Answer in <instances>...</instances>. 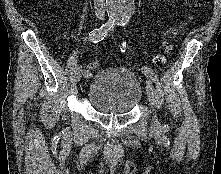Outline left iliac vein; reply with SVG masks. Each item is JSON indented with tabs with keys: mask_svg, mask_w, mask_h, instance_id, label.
Instances as JSON below:
<instances>
[{
	"mask_svg": "<svg viewBox=\"0 0 221 174\" xmlns=\"http://www.w3.org/2000/svg\"><path fill=\"white\" fill-rule=\"evenodd\" d=\"M146 91H147V96H148L149 102H150L151 106L154 107L156 104V94H155L153 83H152L151 79H149V78H147V80H146ZM160 127H161L160 122L158 121V119L155 115L152 120L151 128L153 130H159Z\"/></svg>",
	"mask_w": 221,
	"mask_h": 174,
	"instance_id": "1",
	"label": "left iliac vein"
}]
</instances>
